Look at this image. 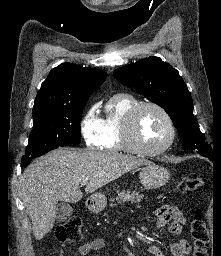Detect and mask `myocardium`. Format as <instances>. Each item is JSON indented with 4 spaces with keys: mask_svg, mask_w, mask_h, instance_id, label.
<instances>
[{
    "mask_svg": "<svg viewBox=\"0 0 221 256\" xmlns=\"http://www.w3.org/2000/svg\"><path fill=\"white\" fill-rule=\"evenodd\" d=\"M151 107L158 110L165 120L167 121L169 128V136L167 141L157 148H148L144 146L137 133L138 117L143 109ZM123 139L126 145L135 153L145 156H157L166 152L174 143L176 139V127L174 120L170 113L160 104L153 101L139 102L133 108L130 109L126 116V120L123 127Z\"/></svg>",
    "mask_w": 221,
    "mask_h": 256,
    "instance_id": "obj_1",
    "label": "myocardium"
}]
</instances>
